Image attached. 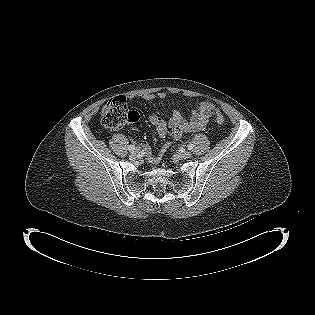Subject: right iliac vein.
I'll use <instances>...</instances> for the list:
<instances>
[{
  "instance_id": "63e3f726",
  "label": "right iliac vein",
  "mask_w": 315,
  "mask_h": 315,
  "mask_svg": "<svg viewBox=\"0 0 315 315\" xmlns=\"http://www.w3.org/2000/svg\"><path fill=\"white\" fill-rule=\"evenodd\" d=\"M138 152H139V149H135L134 151H132L131 157L135 158Z\"/></svg>"
}]
</instances>
